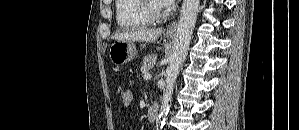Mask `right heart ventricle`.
Returning a JSON list of instances; mask_svg holds the SVG:
<instances>
[{"label": "right heart ventricle", "mask_w": 299, "mask_h": 130, "mask_svg": "<svg viewBox=\"0 0 299 130\" xmlns=\"http://www.w3.org/2000/svg\"><path fill=\"white\" fill-rule=\"evenodd\" d=\"M143 0H117L116 20L121 28H140L149 26L151 19L144 11Z\"/></svg>", "instance_id": "e07e8e85"}]
</instances>
